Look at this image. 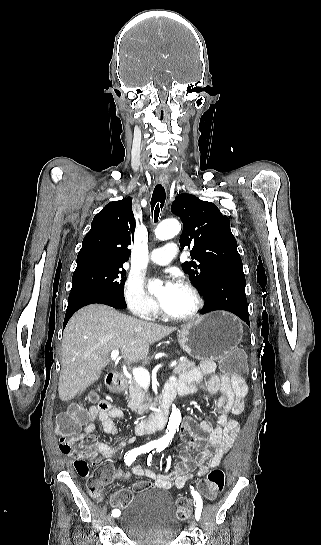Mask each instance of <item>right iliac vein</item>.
I'll return each mask as SVG.
<instances>
[{
	"mask_svg": "<svg viewBox=\"0 0 321 545\" xmlns=\"http://www.w3.org/2000/svg\"><path fill=\"white\" fill-rule=\"evenodd\" d=\"M108 523H109L110 525H113V524H114V517H113L112 515L108 517Z\"/></svg>",
	"mask_w": 321,
	"mask_h": 545,
	"instance_id": "1",
	"label": "right iliac vein"
}]
</instances>
